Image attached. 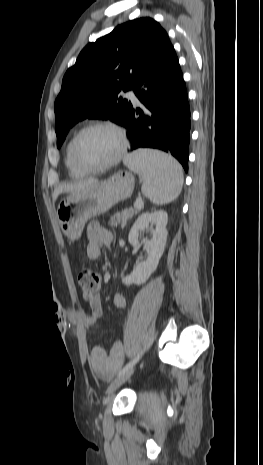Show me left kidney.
<instances>
[{"instance_id":"5707ae66","label":"left kidney","mask_w":263,"mask_h":465,"mask_svg":"<svg viewBox=\"0 0 263 465\" xmlns=\"http://www.w3.org/2000/svg\"><path fill=\"white\" fill-rule=\"evenodd\" d=\"M167 222L168 215L163 210L143 213L135 221L128 236V240L133 246L138 244V238L142 231L148 229L150 225L155 228L152 230V238L144 242L147 257L145 259L142 256L139 257V261L130 275L124 277L121 274L122 282L125 285L142 284L156 270L166 245Z\"/></svg>"}]
</instances>
